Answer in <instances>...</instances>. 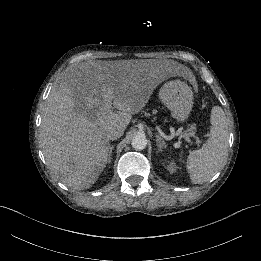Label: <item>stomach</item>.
Masks as SVG:
<instances>
[{
  "label": "stomach",
  "mask_w": 261,
  "mask_h": 261,
  "mask_svg": "<svg viewBox=\"0 0 261 261\" xmlns=\"http://www.w3.org/2000/svg\"><path fill=\"white\" fill-rule=\"evenodd\" d=\"M160 98L171 111L175 125L185 126L194 105V94L190 86L179 80L170 81L161 88Z\"/></svg>",
  "instance_id": "obj_1"
}]
</instances>
